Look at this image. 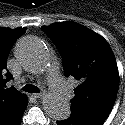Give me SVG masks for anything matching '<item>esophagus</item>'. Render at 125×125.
<instances>
[{
  "mask_svg": "<svg viewBox=\"0 0 125 125\" xmlns=\"http://www.w3.org/2000/svg\"><path fill=\"white\" fill-rule=\"evenodd\" d=\"M32 96L35 98H42L44 96V93H34L32 94Z\"/></svg>",
  "mask_w": 125,
  "mask_h": 125,
  "instance_id": "1",
  "label": "esophagus"
}]
</instances>
